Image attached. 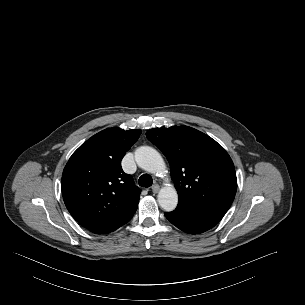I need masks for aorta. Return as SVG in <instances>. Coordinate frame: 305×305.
I'll list each match as a JSON object with an SVG mask.
<instances>
[{"label": "aorta", "instance_id": "762f6f07", "mask_svg": "<svg viewBox=\"0 0 305 305\" xmlns=\"http://www.w3.org/2000/svg\"><path fill=\"white\" fill-rule=\"evenodd\" d=\"M138 166L150 173L158 174L165 170V163L157 150L150 146H141L135 151ZM158 203L165 211H173L178 204V194L174 187H163L158 193Z\"/></svg>", "mask_w": 305, "mask_h": 305}]
</instances>
